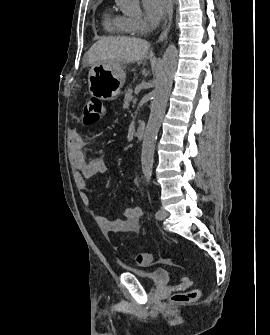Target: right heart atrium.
<instances>
[{
  "mask_svg": "<svg viewBox=\"0 0 270 335\" xmlns=\"http://www.w3.org/2000/svg\"><path fill=\"white\" fill-rule=\"evenodd\" d=\"M132 32L137 35H144L147 32V23L142 19H131Z\"/></svg>",
  "mask_w": 270,
  "mask_h": 335,
  "instance_id": "right-heart-atrium-1",
  "label": "right heart atrium"
}]
</instances>
